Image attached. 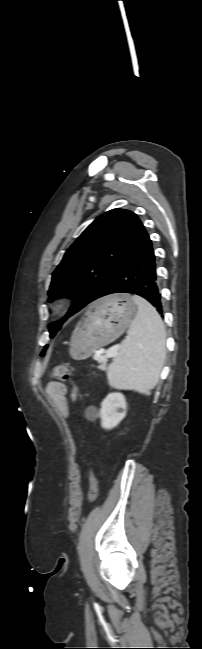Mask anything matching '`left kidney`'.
I'll return each mask as SVG.
<instances>
[{
	"label": "left kidney",
	"instance_id": "5707ae66",
	"mask_svg": "<svg viewBox=\"0 0 202 649\" xmlns=\"http://www.w3.org/2000/svg\"><path fill=\"white\" fill-rule=\"evenodd\" d=\"M127 403L122 393L113 392L101 403V426L105 429L116 427L126 416Z\"/></svg>",
	"mask_w": 202,
	"mask_h": 649
}]
</instances>
